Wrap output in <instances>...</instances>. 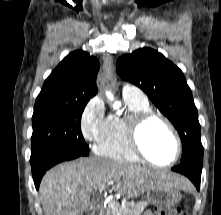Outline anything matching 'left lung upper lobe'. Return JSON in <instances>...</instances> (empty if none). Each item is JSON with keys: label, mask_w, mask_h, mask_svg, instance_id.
<instances>
[{"label": "left lung upper lobe", "mask_w": 221, "mask_h": 215, "mask_svg": "<svg viewBox=\"0 0 221 215\" xmlns=\"http://www.w3.org/2000/svg\"><path fill=\"white\" fill-rule=\"evenodd\" d=\"M116 68L122 79L141 88L175 126L183 146L181 163L202 161L201 126L191 89L182 71L151 48L121 56Z\"/></svg>", "instance_id": "5c2ea615"}]
</instances>
